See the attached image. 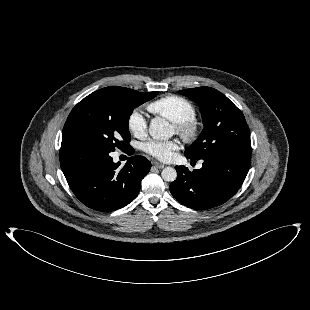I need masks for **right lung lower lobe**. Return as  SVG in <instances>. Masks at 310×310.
<instances>
[{"label": "right lung lower lobe", "mask_w": 310, "mask_h": 310, "mask_svg": "<svg viewBox=\"0 0 310 310\" xmlns=\"http://www.w3.org/2000/svg\"><path fill=\"white\" fill-rule=\"evenodd\" d=\"M111 152L109 147L84 145L61 147L59 152L62 171L73 193L84 205L101 212L129 204L151 168L143 156H132L119 167ZM126 152L132 155L134 149L129 146Z\"/></svg>", "instance_id": "right-lung-lower-lobe-1"}]
</instances>
